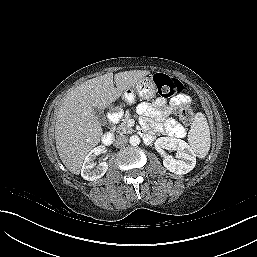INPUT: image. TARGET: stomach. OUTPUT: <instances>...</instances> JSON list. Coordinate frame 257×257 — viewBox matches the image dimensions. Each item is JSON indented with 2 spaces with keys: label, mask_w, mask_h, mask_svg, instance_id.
Masks as SVG:
<instances>
[{
  "label": "stomach",
  "mask_w": 257,
  "mask_h": 257,
  "mask_svg": "<svg viewBox=\"0 0 257 257\" xmlns=\"http://www.w3.org/2000/svg\"><path fill=\"white\" fill-rule=\"evenodd\" d=\"M156 94V85L149 77L142 78L132 88L124 91L123 97L127 102H132L135 96L144 100L152 99Z\"/></svg>",
  "instance_id": "1"
}]
</instances>
